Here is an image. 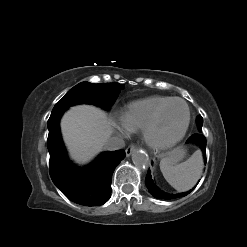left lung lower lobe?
<instances>
[{"mask_svg": "<svg viewBox=\"0 0 247 247\" xmlns=\"http://www.w3.org/2000/svg\"><path fill=\"white\" fill-rule=\"evenodd\" d=\"M187 142L193 143V144L200 147V149L203 153V156H204V162L206 163V138L204 137V135H202L200 133H195L188 138ZM145 183L147 185L149 192L152 194V196H154L155 198H158V199H165V200L184 197V196L188 195L191 191H193L194 188L197 186L196 185L193 189H191L188 192L179 193V194H167V193H165V192H163L157 188V186L155 185V183L152 179L150 170L148 171L147 176L145 178Z\"/></svg>", "mask_w": 247, "mask_h": 247, "instance_id": "0a47b994", "label": "left lung lower lobe"}]
</instances>
